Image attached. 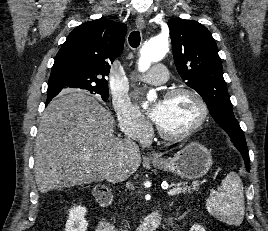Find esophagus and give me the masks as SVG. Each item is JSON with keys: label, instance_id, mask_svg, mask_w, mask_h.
Segmentation results:
<instances>
[{"label": "esophagus", "instance_id": "esophagus-1", "mask_svg": "<svg viewBox=\"0 0 268 231\" xmlns=\"http://www.w3.org/2000/svg\"><path fill=\"white\" fill-rule=\"evenodd\" d=\"M136 26L138 29H144L146 27V22H145V19L142 15H140L136 18ZM149 158L151 160H159V156L154 152H151L149 154Z\"/></svg>", "mask_w": 268, "mask_h": 231}]
</instances>
